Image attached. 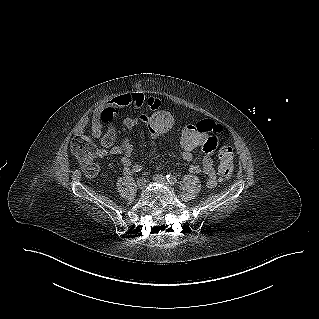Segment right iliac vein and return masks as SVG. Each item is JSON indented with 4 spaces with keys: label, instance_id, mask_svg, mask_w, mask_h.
I'll use <instances>...</instances> for the list:
<instances>
[{
    "label": "right iliac vein",
    "instance_id": "1",
    "mask_svg": "<svg viewBox=\"0 0 319 319\" xmlns=\"http://www.w3.org/2000/svg\"><path fill=\"white\" fill-rule=\"evenodd\" d=\"M136 184L139 189H143L146 186V179L141 177L137 180Z\"/></svg>",
    "mask_w": 319,
    "mask_h": 319
}]
</instances>
